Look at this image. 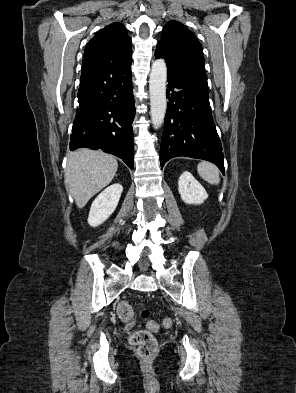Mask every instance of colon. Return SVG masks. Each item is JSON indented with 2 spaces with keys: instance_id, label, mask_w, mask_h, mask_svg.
I'll use <instances>...</instances> for the list:
<instances>
[{
  "instance_id": "1",
  "label": "colon",
  "mask_w": 296,
  "mask_h": 393,
  "mask_svg": "<svg viewBox=\"0 0 296 393\" xmlns=\"http://www.w3.org/2000/svg\"><path fill=\"white\" fill-rule=\"evenodd\" d=\"M118 314L120 318L124 321H129L133 318L134 313L130 304L126 301L121 302L118 305ZM148 311L143 310L142 316L147 317ZM163 326L165 328H170L173 324L172 320L167 318L163 321ZM148 330H141L132 333L129 337V342L131 345L138 349V352L143 358L152 357L157 351V342L154 339L150 331H156L158 329V324L154 321H149L147 323Z\"/></svg>"
}]
</instances>
